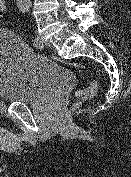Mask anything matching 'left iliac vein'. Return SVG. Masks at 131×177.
<instances>
[{
	"label": "left iliac vein",
	"instance_id": "obj_1",
	"mask_svg": "<svg viewBox=\"0 0 131 177\" xmlns=\"http://www.w3.org/2000/svg\"><path fill=\"white\" fill-rule=\"evenodd\" d=\"M36 38L39 41L38 48L42 49L45 46V44H47V43L45 42L44 38L40 34H37Z\"/></svg>",
	"mask_w": 131,
	"mask_h": 177
}]
</instances>
